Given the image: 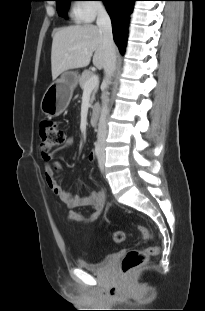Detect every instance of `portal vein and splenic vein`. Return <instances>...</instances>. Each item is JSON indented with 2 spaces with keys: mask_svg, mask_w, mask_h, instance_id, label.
Here are the masks:
<instances>
[{
  "mask_svg": "<svg viewBox=\"0 0 205 311\" xmlns=\"http://www.w3.org/2000/svg\"><path fill=\"white\" fill-rule=\"evenodd\" d=\"M99 84V78L97 75H93L85 84L84 91H91Z\"/></svg>",
  "mask_w": 205,
  "mask_h": 311,
  "instance_id": "obj_1",
  "label": "portal vein and splenic vein"
}]
</instances>
